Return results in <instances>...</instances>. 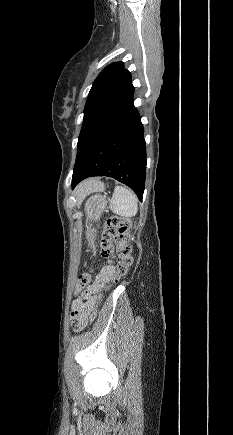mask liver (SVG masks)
<instances>
[{
    "label": "liver",
    "instance_id": "1",
    "mask_svg": "<svg viewBox=\"0 0 233 435\" xmlns=\"http://www.w3.org/2000/svg\"><path fill=\"white\" fill-rule=\"evenodd\" d=\"M103 188V184L97 179H88L84 181L75 191L78 196H84L89 192L100 190Z\"/></svg>",
    "mask_w": 233,
    "mask_h": 435
}]
</instances>
